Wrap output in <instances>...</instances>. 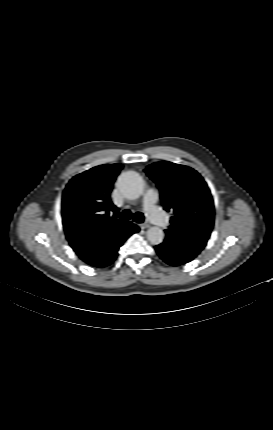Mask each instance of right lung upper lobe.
Instances as JSON below:
<instances>
[{"label":"right lung upper lobe","instance_id":"cb5924a9","mask_svg":"<svg viewBox=\"0 0 273 430\" xmlns=\"http://www.w3.org/2000/svg\"><path fill=\"white\" fill-rule=\"evenodd\" d=\"M122 168L121 164L93 167L73 177L63 192L65 234L84 261L92 256L105 236H122L135 226L116 219L118 208L110 199L114 181Z\"/></svg>","mask_w":273,"mask_h":430}]
</instances>
